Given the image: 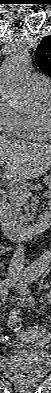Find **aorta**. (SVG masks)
Returning a JSON list of instances; mask_svg holds the SVG:
<instances>
[{
	"label": "aorta",
	"instance_id": "obj_1",
	"mask_svg": "<svg viewBox=\"0 0 51 393\" xmlns=\"http://www.w3.org/2000/svg\"><path fill=\"white\" fill-rule=\"evenodd\" d=\"M30 66L27 49L21 48L14 51L3 63L1 74V91L10 105L18 112L32 113L40 108L34 86L28 79L27 73ZM51 259L43 254L40 260H33L29 266V273L36 276L45 270Z\"/></svg>",
	"mask_w": 51,
	"mask_h": 393
}]
</instances>
